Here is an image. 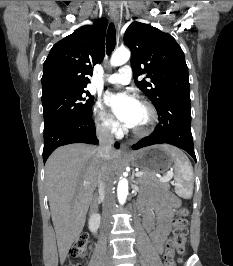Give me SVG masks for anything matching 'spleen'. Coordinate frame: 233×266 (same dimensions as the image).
Here are the masks:
<instances>
[{"instance_id": "3e777b00", "label": "spleen", "mask_w": 233, "mask_h": 266, "mask_svg": "<svg viewBox=\"0 0 233 266\" xmlns=\"http://www.w3.org/2000/svg\"><path fill=\"white\" fill-rule=\"evenodd\" d=\"M174 158L175 192L178 196L190 198L193 194V167L187 156L179 149L166 146Z\"/></svg>"}]
</instances>
